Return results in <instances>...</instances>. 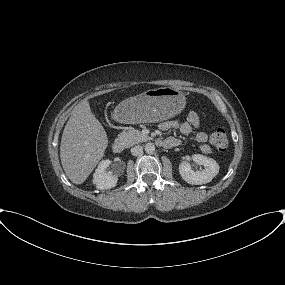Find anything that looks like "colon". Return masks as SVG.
<instances>
[{
    "label": "colon",
    "instance_id": "5ec220e1",
    "mask_svg": "<svg viewBox=\"0 0 285 285\" xmlns=\"http://www.w3.org/2000/svg\"><path fill=\"white\" fill-rule=\"evenodd\" d=\"M211 144L218 150L224 151L228 147L227 133L224 127H217L210 136ZM200 150L204 153L210 152L211 148L208 145H202Z\"/></svg>",
    "mask_w": 285,
    "mask_h": 285
}]
</instances>
